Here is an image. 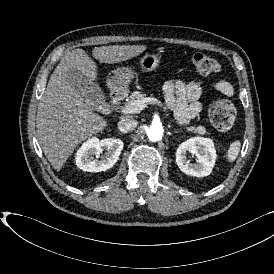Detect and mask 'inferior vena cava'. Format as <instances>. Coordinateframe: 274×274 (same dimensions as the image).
<instances>
[{"mask_svg": "<svg viewBox=\"0 0 274 274\" xmlns=\"http://www.w3.org/2000/svg\"><path fill=\"white\" fill-rule=\"evenodd\" d=\"M137 122L134 119L126 118L118 122L117 128L121 133L132 132L136 129Z\"/></svg>", "mask_w": 274, "mask_h": 274, "instance_id": "1", "label": "inferior vena cava"}]
</instances>
